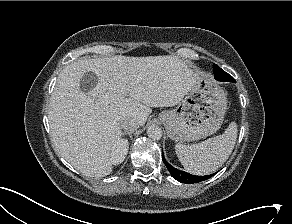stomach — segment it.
<instances>
[{"instance_id": "1", "label": "stomach", "mask_w": 292, "mask_h": 224, "mask_svg": "<svg viewBox=\"0 0 292 224\" xmlns=\"http://www.w3.org/2000/svg\"><path fill=\"white\" fill-rule=\"evenodd\" d=\"M227 95L212 78L200 76L178 106L159 115L170 139L197 141L214 134L223 123Z\"/></svg>"}]
</instances>
